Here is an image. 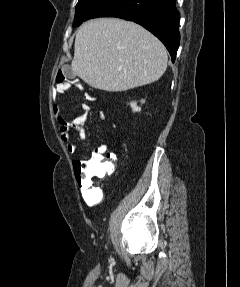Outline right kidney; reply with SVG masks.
Returning a JSON list of instances; mask_svg holds the SVG:
<instances>
[{
	"label": "right kidney",
	"instance_id": "ca27d5eb",
	"mask_svg": "<svg viewBox=\"0 0 240 287\" xmlns=\"http://www.w3.org/2000/svg\"><path fill=\"white\" fill-rule=\"evenodd\" d=\"M144 102H145V100L141 101V103H144ZM130 106H131L133 112H140L141 111V108L137 106V102H131Z\"/></svg>",
	"mask_w": 240,
	"mask_h": 287
}]
</instances>
